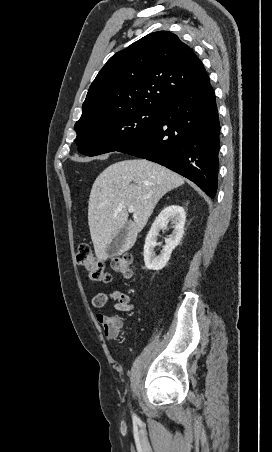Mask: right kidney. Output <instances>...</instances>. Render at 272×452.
<instances>
[{
  "label": "right kidney",
  "instance_id": "obj_1",
  "mask_svg": "<svg viewBox=\"0 0 272 452\" xmlns=\"http://www.w3.org/2000/svg\"><path fill=\"white\" fill-rule=\"evenodd\" d=\"M185 220V211L181 206L170 205L161 211L145 239L143 255L145 266L148 269L158 271L165 267L172 251L181 241ZM168 221H171L174 225L172 235L165 239L166 245L163 247L161 254L156 256L154 248L157 245V236L161 229L166 228Z\"/></svg>",
  "mask_w": 272,
  "mask_h": 452
}]
</instances>
